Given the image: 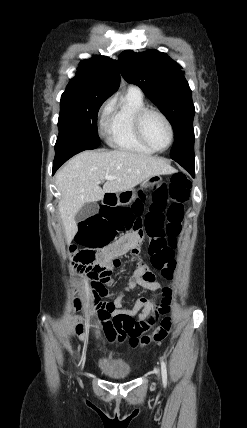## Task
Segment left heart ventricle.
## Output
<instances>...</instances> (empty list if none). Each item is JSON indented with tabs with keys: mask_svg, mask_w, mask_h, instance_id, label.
Instances as JSON below:
<instances>
[{
	"mask_svg": "<svg viewBox=\"0 0 247 428\" xmlns=\"http://www.w3.org/2000/svg\"><path fill=\"white\" fill-rule=\"evenodd\" d=\"M143 128L146 138L155 148L162 149L167 146L169 130L160 116L148 114L144 119Z\"/></svg>",
	"mask_w": 247,
	"mask_h": 428,
	"instance_id": "1",
	"label": "left heart ventricle"
}]
</instances>
